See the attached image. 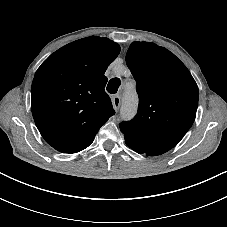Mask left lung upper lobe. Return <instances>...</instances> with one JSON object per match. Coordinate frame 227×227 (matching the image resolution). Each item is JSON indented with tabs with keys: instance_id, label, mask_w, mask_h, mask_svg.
<instances>
[{
	"instance_id": "left-lung-upper-lobe-1",
	"label": "left lung upper lobe",
	"mask_w": 227,
	"mask_h": 227,
	"mask_svg": "<svg viewBox=\"0 0 227 227\" xmlns=\"http://www.w3.org/2000/svg\"><path fill=\"white\" fill-rule=\"evenodd\" d=\"M126 63L136 80L139 107L133 120L120 123V130L137 153L163 154L194 122L197 84L173 53L154 43L133 42Z\"/></svg>"
}]
</instances>
